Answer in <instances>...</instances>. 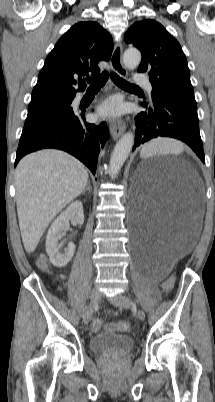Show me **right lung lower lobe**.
I'll return each instance as SVG.
<instances>
[{
  "label": "right lung lower lobe",
  "instance_id": "1",
  "mask_svg": "<svg viewBox=\"0 0 215 402\" xmlns=\"http://www.w3.org/2000/svg\"><path fill=\"white\" fill-rule=\"evenodd\" d=\"M108 139V127L89 124L81 114L69 112L62 118L37 128L20 138L15 166L26 154L43 148L64 150L83 162L93 174L96 172L98 154Z\"/></svg>",
  "mask_w": 215,
  "mask_h": 402
}]
</instances>
